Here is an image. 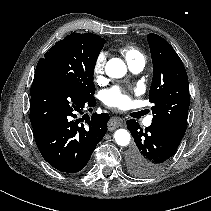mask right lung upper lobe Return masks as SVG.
Listing matches in <instances>:
<instances>
[{
	"mask_svg": "<svg viewBox=\"0 0 211 211\" xmlns=\"http://www.w3.org/2000/svg\"><path fill=\"white\" fill-rule=\"evenodd\" d=\"M91 36H93L96 40H98L100 43H105V40L103 38H101L99 35H95V34H92V33H87Z\"/></svg>",
	"mask_w": 211,
	"mask_h": 211,
	"instance_id": "right-lung-upper-lobe-1",
	"label": "right lung upper lobe"
}]
</instances>
